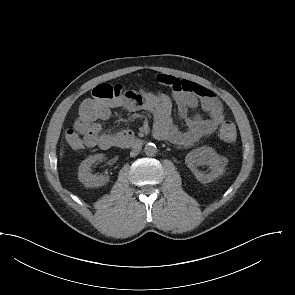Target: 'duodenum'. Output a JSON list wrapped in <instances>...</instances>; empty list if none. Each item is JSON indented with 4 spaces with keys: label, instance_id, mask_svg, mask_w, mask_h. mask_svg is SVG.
Masks as SVG:
<instances>
[{
    "label": "duodenum",
    "instance_id": "1",
    "mask_svg": "<svg viewBox=\"0 0 295 295\" xmlns=\"http://www.w3.org/2000/svg\"><path fill=\"white\" fill-rule=\"evenodd\" d=\"M143 143L144 141L142 139L137 138L130 133H123L117 137L114 146L121 148H132L141 146Z\"/></svg>",
    "mask_w": 295,
    "mask_h": 295
}]
</instances>
